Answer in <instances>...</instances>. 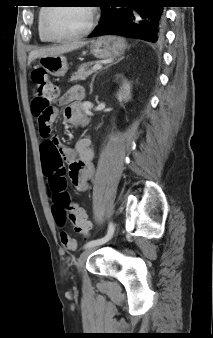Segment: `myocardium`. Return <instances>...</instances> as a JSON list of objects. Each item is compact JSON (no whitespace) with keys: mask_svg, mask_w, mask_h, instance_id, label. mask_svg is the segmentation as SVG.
<instances>
[{"mask_svg":"<svg viewBox=\"0 0 213 338\" xmlns=\"http://www.w3.org/2000/svg\"><path fill=\"white\" fill-rule=\"evenodd\" d=\"M85 1H88V0H85ZM54 7H57V6L55 5L48 6L43 16V20H42V32L49 41L63 42V41L75 40V39H79V38H82L88 35L93 30L95 23H96V17L98 14V10L95 6L91 4H87L86 7L89 9L90 18H89V22L87 26L82 31L78 33L70 34V35H64V36H57V35L52 34L48 28V19Z\"/></svg>","mask_w":213,"mask_h":338,"instance_id":"1","label":"myocardium"}]
</instances>
